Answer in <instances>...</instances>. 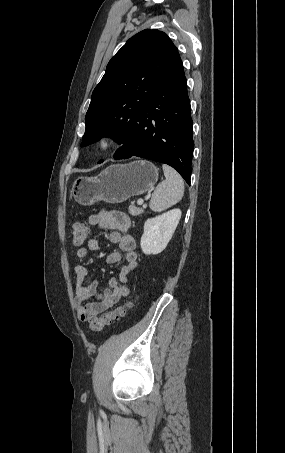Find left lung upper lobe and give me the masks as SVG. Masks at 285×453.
Masks as SVG:
<instances>
[{
  "label": "left lung upper lobe",
  "mask_w": 285,
  "mask_h": 453,
  "mask_svg": "<svg viewBox=\"0 0 285 453\" xmlns=\"http://www.w3.org/2000/svg\"><path fill=\"white\" fill-rule=\"evenodd\" d=\"M177 53L162 31L146 29L130 38L92 93L81 147L104 136L122 144Z\"/></svg>",
  "instance_id": "left-lung-upper-lobe-1"
}]
</instances>
